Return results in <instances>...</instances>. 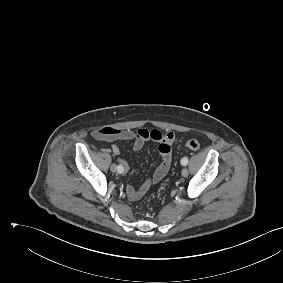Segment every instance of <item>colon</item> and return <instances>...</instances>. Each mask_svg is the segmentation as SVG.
Here are the masks:
<instances>
[{
	"label": "colon",
	"instance_id": "obj_1",
	"mask_svg": "<svg viewBox=\"0 0 283 283\" xmlns=\"http://www.w3.org/2000/svg\"><path fill=\"white\" fill-rule=\"evenodd\" d=\"M186 146L191 150H199L200 149V143L196 139H189L186 141Z\"/></svg>",
	"mask_w": 283,
	"mask_h": 283
}]
</instances>
